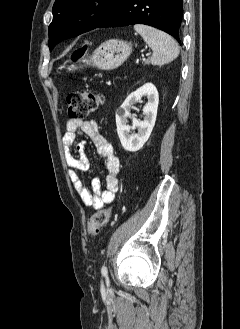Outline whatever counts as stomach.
I'll list each match as a JSON object with an SVG mask.
<instances>
[{
  "label": "stomach",
  "instance_id": "stomach-1",
  "mask_svg": "<svg viewBox=\"0 0 240 329\" xmlns=\"http://www.w3.org/2000/svg\"><path fill=\"white\" fill-rule=\"evenodd\" d=\"M132 53V45L126 41L111 39L102 43L89 58L86 65H92L101 70H112L119 67ZM61 68L73 71L75 65L64 64Z\"/></svg>",
  "mask_w": 240,
  "mask_h": 329
}]
</instances>
